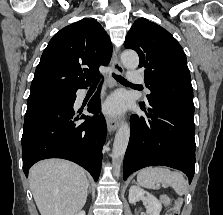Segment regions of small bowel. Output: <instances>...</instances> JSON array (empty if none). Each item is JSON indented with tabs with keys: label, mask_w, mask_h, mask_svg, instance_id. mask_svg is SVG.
Segmentation results:
<instances>
[{
	"label": "small bowel",
	"mask_w": 223,
	"mask_h": 215,
	"mask_svg": "<svg viewBox=\"0 0 223 215\" xmlns=\"http://www.w3.org/2000/svg\"><path fill=\"white\" fill-rule=\"evenodd\" d=\"M161 200L166 206H168L170 204V200L167 196H162Z\"/></svg>",
	"instance_id": "small-bowel-1"
}]
</instances>
